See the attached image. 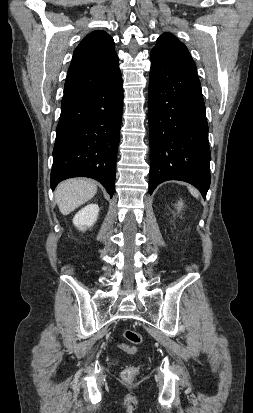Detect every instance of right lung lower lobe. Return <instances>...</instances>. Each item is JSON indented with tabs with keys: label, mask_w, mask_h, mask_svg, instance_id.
<instances>
[{
	"label": "right lung lower lobe",
	"mask_w": 253,
	"mask_h": 413,
	"mask_svg": "<svg viewBox=\"0 0 253 413\" xmlns=\"http://www.w3.org/2000/svg\"><path fill=\"white\" fill-rule=\"evenodd\" d=\"M123 110L120 70L104 85L61 104L51 188L72 177L98 180L113 196Z\"/></svg>",
	"instance_id": "98d812e1"
}]
</instances>
